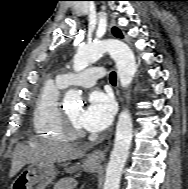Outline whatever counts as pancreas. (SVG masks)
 <instances>
[{
	"mask_svg": "<svg viewBox=\"0 0 188 189\" xmlns=\"http://www.w3.org/2000/svg\"><path fill=\"white\" fill-rule=\"evenodd\" d=\"M62 185H63L62 182H58L57 184L54 185V189H60Z\"/></svg>",
	"mask_w": 188,
	"mask_h": 189,
	"instance_id": "cf45deb5",
	"label": "pancreas"
}]
</instances>
